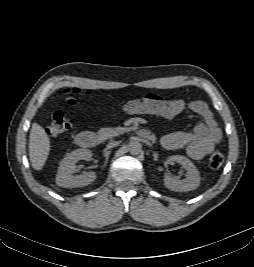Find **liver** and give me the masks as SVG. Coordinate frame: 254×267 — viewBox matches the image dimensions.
Masks as SVG:
<instances>
[{
    "label": "liver",
    "instance_id": "1",
    "mask_svg": "<svg viewBox=\"0 0 254 267\" xmlns=\"http://www.w3.org/2000/svg\"><path fill=\"white\" fill-rule=\"evenodd\" d=\"M49 152L50 139L45 129L38 123H33L29 136V157L35 170H42Z\"/></svg>",
    "mask_w": 254,
    "mask_h": 267
}]
</instances>
